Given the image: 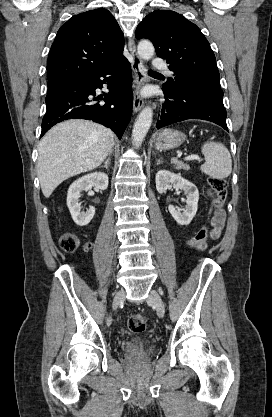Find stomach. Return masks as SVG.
<instances>
[{
  "instance_id": "obj_1",
  "label": "stomach",
  "mask_w": 272,
  "mask_h": 417,
  "mask_svg": "<svg viewBox=\"0 0 272 417\" xmlns=\"http://www.w3.org/2000/svg\"><path fill=\"white\" fill-rule=\"evenodd\" d=\"M185 139L186 136L181 131L164 129L156 135L154 145L158 150H170L179 147Z\"/></svg>"
}]
</instances>
